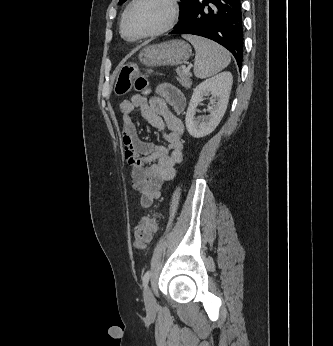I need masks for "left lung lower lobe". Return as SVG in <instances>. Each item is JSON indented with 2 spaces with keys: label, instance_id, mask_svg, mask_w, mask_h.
<instances>
[{
  "label": "left lung lower lobe",
  "instance_id": "left-lung-lower-lobe-1",
  "mask_svg": "<svg viewBox=\"0 0 333 346\" xmlns=\"http://www.w3.org/2000/svg\"><path fill=\"white\" fill-rule=\"evenodd\" d=\"M170 34L209 38L228 49L241 66L243 22L241 0H192Z\"/></svg>",
  "mask_w": 333,
  "mask_h": 346
}]
</instances>
